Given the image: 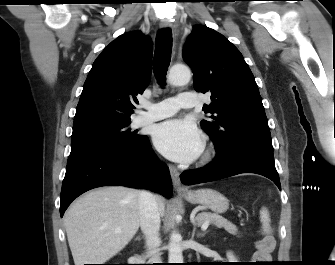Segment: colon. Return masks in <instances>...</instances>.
Returning <instances> with one entry per match:
<instances>
[{"label":"colon","instance_id":"1","mask_svg":"<svg viewBox=\"0 0 335 265\" xmlns=\"http://www.w3.org/2000/svg\"><path fill=\"white\" fill-rule=\"evenodd\" d=\"M275 248V239L269 232H264L257 242V250L254 254L255 263L266 265L271 261V254Z\"/></svg>","mask_w":335,"mask_h":265}]
</instances>
